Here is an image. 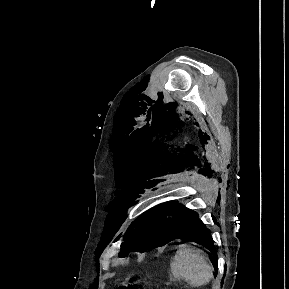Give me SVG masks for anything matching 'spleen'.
Wrapping results in <instances>:
<instances>
[{
  "instance_id": "1",
  "label": "spleen",
  "mask_w": 289,
  "mask_h": 289,
  "mask_svg": "<svg viewBox=\"0 0 289 289\" xmlns=\"http://www.w3.org/2000/svg\"><path fill=\"white\" fill-rule=\"evenodd\" d=\"M213 278V268L200 250L179 246L170 263V279L183 280L192 288L204 286Z\"/></svg>"
}]
</instances>
